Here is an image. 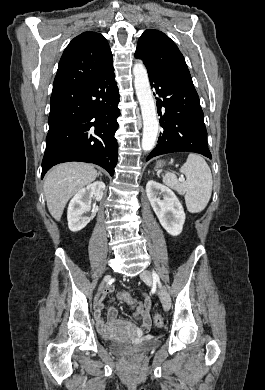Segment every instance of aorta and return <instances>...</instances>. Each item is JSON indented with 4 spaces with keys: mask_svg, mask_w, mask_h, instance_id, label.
Returning <instances> with one entry per match:
<instances>
[{
    "mask_svg": "<svg viewBox=\"0 0 265 390\" xmlns=\"http://www.w3.org/2000/svg\"><path fill=\"white\" fill-rule=\"evenodd\" d=\"M134 86L140 103L143 119L142 149L150 151L154 148L158 135V119L148 74L142 62L133 67Z\"/></svg>",
    "mask_w": 265,
    "mask_h": 390,
    "instance_id": "obj_1",
    "label": "aorta"
}]
</instances>
